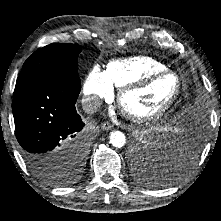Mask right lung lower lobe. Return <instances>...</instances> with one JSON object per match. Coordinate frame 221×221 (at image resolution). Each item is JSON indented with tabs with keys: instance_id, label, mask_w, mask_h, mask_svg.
<instances>
[{
	"instance_id": "right-lung-lower-lobe-1",
	"label": "right lung lower lobe",
	"mask_w": 221,
	"mask_h": 221,
	"mask_svg": "<svg viewBox=\"0 0 221 221\" xmlns=\"http://www.w3.org/2000/svg\"><path fill=\"white\" fill-rule=\"evenodd\" d=\"M80 82L43 81L13 95L16 137L24 160L36 174L76 164L88 149L85 123L75 103Z\"/></svg>"
}]
</instances>
